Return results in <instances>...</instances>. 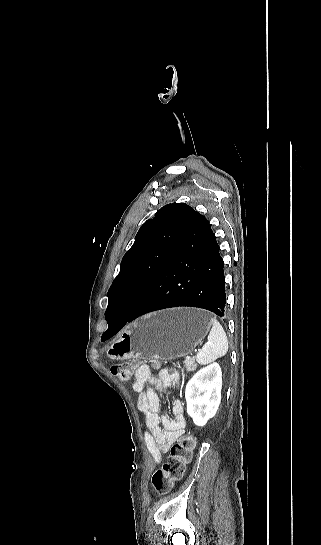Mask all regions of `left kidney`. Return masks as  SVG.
Instances as JSON below:
<instances>
[{
  "mask_svg": "<svg viewBox=\"0 0 321 545\" xmlns=\"http://www.w3.org/2000/svg\"><path fill=\"white\" fill-rule=\"evenodd\" d=\"M222 371L218 363L195 373L185 389L187 413L193 423L204 427L217 413L221 401Z\"/></svg>",
  "mask_w": 321,
  "mask_h": 545,
  "instance_id": "obj_1",
  "label": "left kidney"
}]
</instances>
